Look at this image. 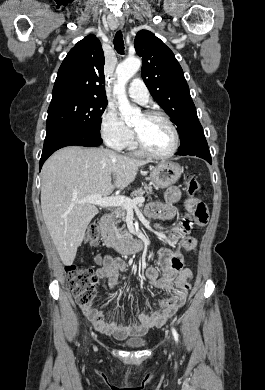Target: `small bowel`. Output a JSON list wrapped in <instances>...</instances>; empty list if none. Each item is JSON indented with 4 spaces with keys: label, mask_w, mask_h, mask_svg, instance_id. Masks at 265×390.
<instances>
[{
    "label": "small bowel",
    "mask_w": 265,
    "mask_h": 390,
    "mask_svg": "<svg viewBox=\"0 0 265 390\" xmlns=\"http://www.w3.org/2000/svg\"><path fill=\"white\" fill-rule=\"evenodd\" d=\"M179 188L170 187L165 193L164 203H151L146 208V214L150 218L171 220L176 214L175 205L180 201ZM186 217L175 225L168 236L164 237L168 245L178 244L176 249L161 248L157 252V260L163 272L160 276L156 267L149 266L146 269V278L152 286L168 293V296L158 303V309L153 312H142L137 321H122L116 317L107 320L103 313L88 304L81 306L84 315L93 323L94 327L107 335L116 338H124L129 335H144L151 328L162 326L168 318L173 316L183 305L189 290L193 273L191 269L183 266V251H194L197 241L188 233L191 221L203 226L208 219L206 205L196 199L189 198L184 202ZM101 267L96 275L99 280L106 282L109 289H114L119 284V276L127 270L125 260L111 255H105L97 259ZM111 313L115 314V301L111 305Z\"/></svg>",
    "instance_id": "small-bowel-1"
}]
</instances>
